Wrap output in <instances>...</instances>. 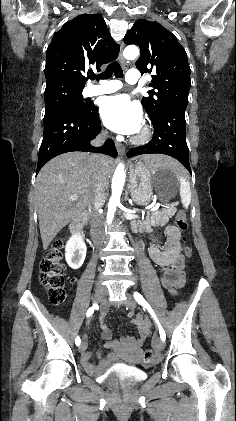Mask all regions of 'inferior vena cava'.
<instances>
[{"label":"inferior vena cava","instance_id":"602c4592","mask_svg":"<svg viewBox=\"0 0 236 421\" xmlns=\"http://www.w3.org/2000/svg\"><path fill=\"white\" fill-rule=\"evenodd\" d=\"M108 136L107 130H103L99 136H96L94 140H91L93 146H101L105 142V138ZM93 158H98V154H91ZM96 182L93 186V196L90 204V225L91 235L96 247H100L104 243V231H103V215L99 213L105 202V184L101 178V172L99 166H95Z\"/></svg>","mask_w":236,"mask_h":421}]
</instances>
